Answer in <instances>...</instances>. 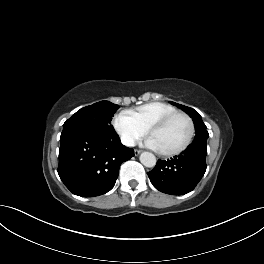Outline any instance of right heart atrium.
<instances>
[{"mask_svg":"<svg viewBox=\"0 0 264 264\" xmlns=\"http://www.w3.org/2000/svg\"><path fill=\"white\" fill-rule=\"evenodd\" d=\"M113 126L126 146H133L146 134V131L136 124L127 111H122L115 117Z\"/></svg>","mask_w":264,"mask_h":264,"instance_id":"d8ad5b80","label":"right heart atrium"}]
</instances>
